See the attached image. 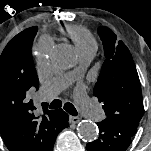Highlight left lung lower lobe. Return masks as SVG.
Segmentation results:
<instances>
[{
  "label": "left lung lower lobe",
  "mask_w": 151,
  "mask_h": 151,
  "mask_svg": "<svg viewBox=\"0 0 151 151\" xmlns=\"http://www.w3.org/2000/svg\"><path fill=\"white\" fill-rule=\"evenodd\" d=\"M100 135L97 140L87 144L88 151H125L131 143V137L112 126L97 123Z\"/></svg>",
  "instance_id": "obj_1"
}]
</instances>
